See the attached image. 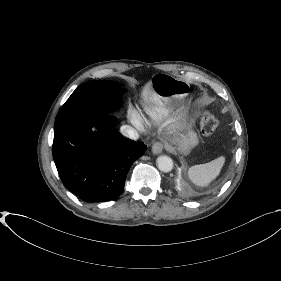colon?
I'll list each match as a JSON object with an SVG mask.
<instances>
[{
	"instance_id": "5ec220e1",
	"label": "colon",
	"mask_w": 281,
	"mask_h": 281,
	"mask_svg": "<svg viewBox=\"0 0 281 281\" xmlns=\"http://www.w3.org/2000/svg\"><path fill=\"white\" fill-rule=\"evenodd\" d=\"M201 125L203 133L207 136H210L216 129L217 121L211 113L204 112L201 120Z\"/></svg>"
}]
</instances>
